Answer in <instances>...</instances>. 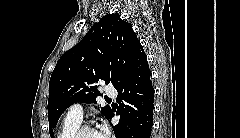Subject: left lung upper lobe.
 <instances>
[{"label":"left lung upper lobe","mask_w":240,"mask_h":138,"mask_svg":"<svg viewBox=\"0 0 240 138\" xmlns=\"http://www.w3.org/2000/svg\"><path fill=\"white\" fill-rule=\"evenodd\" d=\"M143 50L131 24L118 14L103 16L84 38L58 60L49 82L48 120L53 137L61 114L73 103H96L97 83L117 88ZM94 92V93H93ZM107 118L108 106L102 108Z\"/></svg>","instance_id":"left-lung-upper-lobe-1"}]
</instances>
